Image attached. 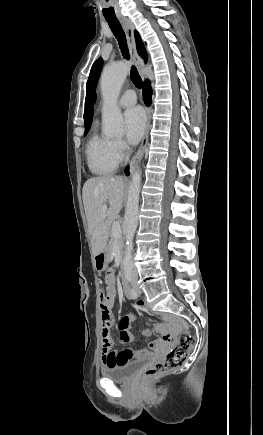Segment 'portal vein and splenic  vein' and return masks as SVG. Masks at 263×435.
Here are the masks:
<instances>
[{"label":"portal vein and splenic vein","instance_id":"18ae733b","mask_svg":"<svg viewBox=\"0 0 263 435\" xmlns=\"http://www.w3.org/2000/svg\"><path fill=\"white\" fill-rule=\"evenodd\" d=\"M103 210H106V206H103ZM112 233L113 236L118 238L121 237V227L120 224L118 222H113L112 224Z\"/></svg>","mask_w":263,"mask_h":435}]
</instances>
